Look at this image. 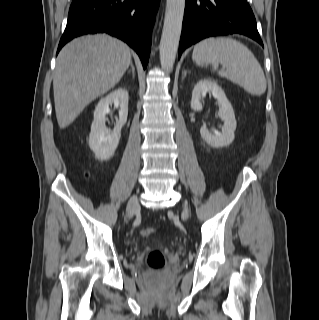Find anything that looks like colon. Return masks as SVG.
Listing matches in <instances>:
<instances>
[{
	"label": "colon",
	"instance_id": "1",
	"mask_svg": "<svg viewBox=\"0 0 319 320\" xmlns=\"http://www.w3.org/2000/svg\"><path fill=\"white\" fill-rule=\"evenodd\" d=\"M154 233L155 230L153 228H144L141 230V235L143 237H149ZM146 265L151 270H162L165 266V258L162 252L159 250H152L146 258Z\"/></svg>",
	"mask_w": 319,
	"mask_h": 320
}]
</instances>
